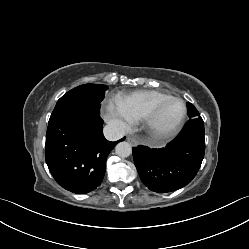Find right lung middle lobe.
<instances>
[{
	"mask_svg": "<svg viewBox=\"0 0 249 249\" xmlns=\"http://www.w3.org/2000/svg\"><path fill=\"white\" fill-rule=\"evenodd\" d=\"M106 90L107 87L101 84H84L70 90L58 100L49 123L74 110L95 109L99 111L100 102Z\"/></svg>",
	"mask_w": 249,
	"mask_h": 249,
	"instance_id": "dd1d6c3e",
	"label": "right lung middle lobe"
}]
</instances>
